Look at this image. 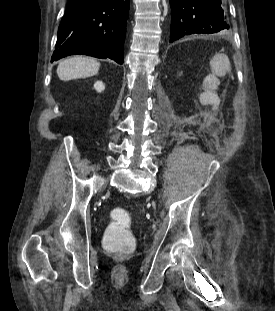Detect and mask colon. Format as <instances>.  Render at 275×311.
<instances>
[{
	"instance_id": "5ec220e1",
	"label": "colon",
	"mask_w": 275,
	"mask_h": 311,
	"mask_svg": "<svg viewBox=\"0 0 275 311\" xmlns=\"http://www.w3.org/2000/svg\"><path fill=\"white\" fill-rule=\"evenodd\" d=\"M111 219L104 236L105 249L120 254L131 253L135 248L136 242L129 229L131 224L130 214L125 209L114 208L111 211Z\"/></svg>"
}]
</instances>
